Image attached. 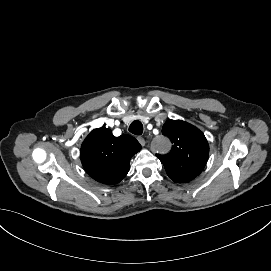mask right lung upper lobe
Masks as SVG:
<instances>
[{
    "mask_svg": "<svg viewBox=\"0 0 271 271\" xmlns=\"http://www.w3.org/2000/svg\"><path fill=\"white\" fill-rule=\"evenodd\" d=\"M141 148L133 136L114 137L110 129L102 127L86 137L80 158L93 179L104 184H117L128 173L131 157Z\"/></svg>",
    "mask_w": 271,
    "mask_h": 271,
    "instance_id": "1",
    "label": "right lung upper lobe"
}]
</instances>
